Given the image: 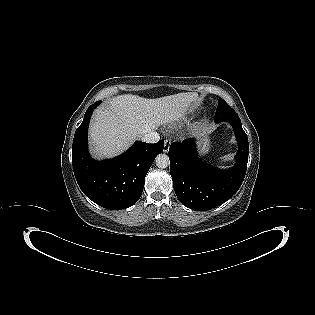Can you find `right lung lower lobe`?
Listing matches in <instances>:
<instances>
[{"label":"right lung lower lobe","mask_w":315,"mask_h":315,"mask_svg":"<svg viewBox=\"0 0 315 315\" xmlns=\"http://www.w3.org/2000/svg\"><path fill=\"white\" fill-rule=\"evenodd\" d=\"M91 105L77 128L72 147V164L77 183L93 202L110 210L135 204L143 192L145 176L155 157L163 151L164 140L155 144L137 141L122 155L104 161L92 159L87 149Z\"/></svg>","instance_id":"1"}]
</instances>
